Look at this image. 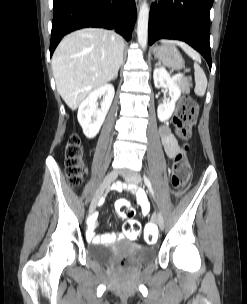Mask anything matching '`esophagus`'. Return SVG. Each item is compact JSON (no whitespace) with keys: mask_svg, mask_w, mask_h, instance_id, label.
Segmentation results:
<instances>
[{"mask_svg":"<svg viewBox=\"0 0 247 304\" xmlns=\"http://www.w3.org/2000/svg\"><path fill=\"white\" fill-rule=\"evenodd\" d=\"M142 1L141 0H136V5L139 8L141 6Z\"/></svg>","mask_w":247,"mask_h":304,"instance_id":"34e87169","label":"esophagus"}]
</instances>
